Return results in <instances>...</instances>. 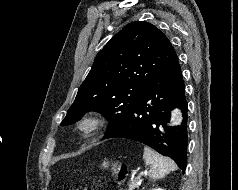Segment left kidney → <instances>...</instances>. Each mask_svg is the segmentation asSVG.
Masks as SVG:
<instances>
[{"label": "left kidney", "instance_id": "left-kidney-1", "mask_svg": "<svg viewBox=\"0 0 238 190\" xmlns=\"http://www.w3.org/2000/svg\"><path fill=\"white\" fill-rule=\"evenodd\" d=\"M151 190H164L162 188H154V189H151Z\"/></svg>", "mask_w": 238, "mask_h": 190}]
</instances>
